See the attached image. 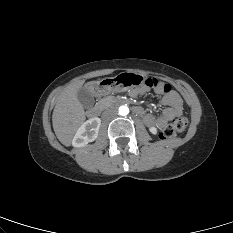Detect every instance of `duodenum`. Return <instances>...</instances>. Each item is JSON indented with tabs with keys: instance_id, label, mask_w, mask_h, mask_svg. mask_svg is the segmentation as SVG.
<instances>
[{
	"instance_id": "1",
	"label": "duodenum",
	"mask_w": 233,
	"mask_h": 233,
	"mask_svg": "<svg viewBox=\"0 0 233 233\" xmlns=\"http://www.w3.org/2000/svg\"><path fill=\"white\" fill-rule=\"evenodd\" d=\"M115 103L119 104V105H122V104H125L127 101L122 99V98H117L114 100ZM135 112L137 113L138 112V108H135ZM88 114V117L89 118H98L99 115H100V108L98 107H93V108H90L87 112Z\"/></svg>"
}]
</instances>
